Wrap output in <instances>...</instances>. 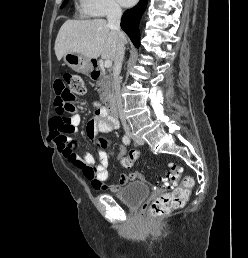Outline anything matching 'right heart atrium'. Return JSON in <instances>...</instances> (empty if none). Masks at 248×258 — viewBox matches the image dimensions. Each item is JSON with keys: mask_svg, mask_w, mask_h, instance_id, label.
Masks as SVG:
<instances>
[{"mask_svg": "<svg viewBox=\"0 0 248 258\" xmlns=\"http://www.w3.org/2000/svg\"><path fill=\"white\" fill-rule=\"evenodd\" d=\"M78 11L85 17H103L117 14L121 8L117 0H78Z\"/></svg>", "mask_w": 248, "mask_h": 258, "instance_id": "right-heart-atrium-1", "label": "right heart atrium"}]
</instances>
